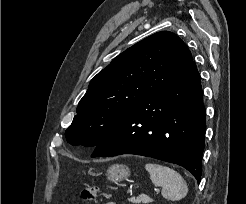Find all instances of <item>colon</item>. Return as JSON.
<instances>
[{
  "mask_svg": "<svg viewBox=\"0 0 246 204\" xmlns=\"http://www.w3.org/2000/svg\"><path fill=\"white\" fill-rule=\"evenodd\" d=\"M97 193L96 187H86L80 192V199L82 202L89 203L94 200Z\"/></svg>",
  "mask_w": 246,
  "mask_h": 204,
  "instance_id": "1",
  "label": "colon"
}]
</instances>
